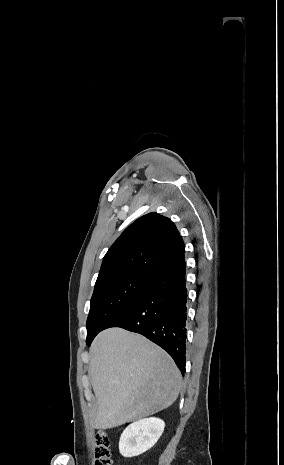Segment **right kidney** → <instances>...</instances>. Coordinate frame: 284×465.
I'll return each mask as SVG.
<instances>
[{"label":"right kidney","mask_w":284,"mask_h":465,"mask_svg":"<svg viewBox=\"0 0 284 465\" xmlns=\"http://www.w3.org/2000/svg\"><path fill=\"white\" fill-rule=\"evenodd\" d=\"M165 423L161 419H141L126 427L119 441V451L123 457H137L151 449L164 431Z\"/></svg>","instance_id":"ca27d5eb"}]
</instances>
